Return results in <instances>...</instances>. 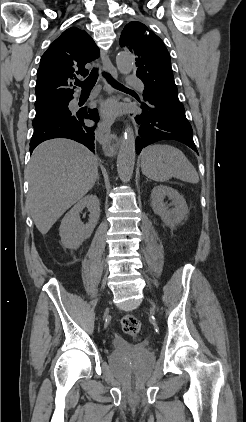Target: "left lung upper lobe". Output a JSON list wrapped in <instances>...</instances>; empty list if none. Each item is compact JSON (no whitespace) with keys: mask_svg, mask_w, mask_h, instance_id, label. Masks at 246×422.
I'll return each instance as SVG.
<instances>
[{"mask_svg":"<svg viewBox=\"0 0 246 422\" xmlns=\"http://www.w3.org/2000/svg\"><path fill=\"white\" fill-rule=\"evenodd\" d=\"M120 46L136 56V75L145 85L144 100L153 96L173 107L184 108L178 99L170 55L155 33L140 22H130L122 31Z\"/></svg>","mask_w":246,"mask_h":422,"instance_id":"5c2ea615","label":"left lung upper lobe"}]
</instances>
